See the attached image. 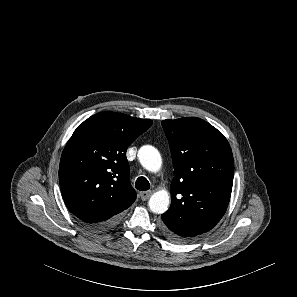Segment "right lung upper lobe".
<instances>
[{"mask_svg":"<svg viewBox=\"0 0 297 297\" xmlns=\"http://www.w3.org/2000/svg\"><path fill=\"white\" fill-rule=\"evenodd\" d=\"M152 123L101 112L80 124L67 142L60 160V189L68 209L88 226L120 214L135 201L126 150Z\"/></svg>","mask_w":297,"mask_h":297,"instance_id":"right-lung-upper-lobe-1","label":"right lung upper lobe"}]
</instances>
